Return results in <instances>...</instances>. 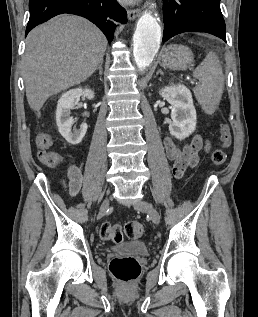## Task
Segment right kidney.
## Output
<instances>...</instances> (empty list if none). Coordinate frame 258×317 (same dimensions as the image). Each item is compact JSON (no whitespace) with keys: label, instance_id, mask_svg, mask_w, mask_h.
Returning <instances> with one entry per match:
<instances>
[{"label":"right kidney","instance_id":"right-kidney-1","mask_svg":"<svg viewBox=\"0 0 258 317\" xmlns=\"http://www.w3.org/2000/svg\"><path fill=\"white\" fill-rule=\"evenodd\" d=\"M80 96L94 98L95 92L91 90V88H71V90H67V92H64V94L60 96L56 108V124L58 130L70 144H79L88 128V124L83 122L80 128L71 130V126L74 122L73 116H70L71 108H74L75 104H78Z\"/></svg>","mask_w":258,"mask_h":317}]
</instances>
